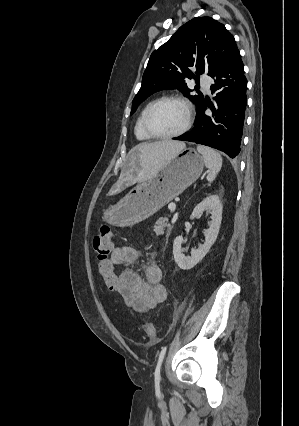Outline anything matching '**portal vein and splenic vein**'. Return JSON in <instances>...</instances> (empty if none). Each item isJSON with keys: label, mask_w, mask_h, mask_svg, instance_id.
I'll return each instance as SVG.
<instances>
[{"label": "portal vein and splenic vein", "mask_w": 299, "mask_h": 426, "mask_svg": "<svg viewBox=\"0 0 299 426\" xmlns=\"http://www.w3.org/2000/svg\"><path fill=\"white\" fill-rule=\"evenodd\" d=\"M169 210L173 213L176 209V204L174 202L168 205Z\"/></svg>", "instance_id": "18ae733b"}]
</instances>
